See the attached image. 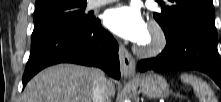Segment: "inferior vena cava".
Masks as SVG:
<instances>
[{
	"label": "inferior vena cava",
	"instance_id": "602c4592",
	"mask_svg": "<svg viewBox=\"0 0 221 102\" xmlns=\"http://www.w3.org/2000/svg\"><path fill=\"white\" fill-rule=\"evenodd\" d=\"M92 99L93 102H110L108 80L100 69L94 70Z\"/></svg>",
	"mask_w": 221,
	"mask_h": 102
}]
</instances>
